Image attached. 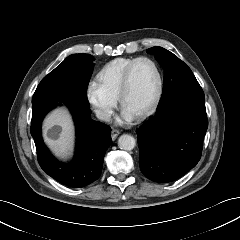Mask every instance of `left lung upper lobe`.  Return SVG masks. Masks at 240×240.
Returning a JSON list of instances; mask_svg holds the SVG:
<instances>
[{"mask_svg":"<svg viewBox=\"0 0 240 240\" xmlns=\"http://www.w3.org/2000/svg\"><path fill=\"white\" fill-rule=\"evenodd\" d=\"M147 52L155 55L164 69L163 92L156 113L179 100L205 101L201 86L183 61L162 47H152Z\"/></svg>","mask_w":240,"mask_h":240,"instance_id":"1","label":"left lung upper lobe"}]
</instances>
